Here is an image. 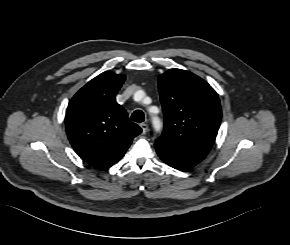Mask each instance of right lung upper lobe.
I'll use <instances>...</instances> for the list:
<instances>
[{
  "label": "right lung upper lobe",
  "instance_id": "obj_1",
  "mask_svg": "<svg viewBox=\"0 0 290 245\" xmlns=\"http://www.w3.org/2000/svg\"><path fill=\"white\" fill-rule=\"evenodd\" d=\"M125 76L103 72L82 87L65 115L68 139L87 163L106 169L122 158L141 128L115 100Z\"/></svg>",
  "mask_w": 290,
  "mask_h": 245
}]
</instances>
